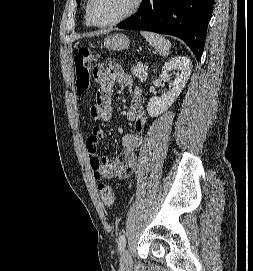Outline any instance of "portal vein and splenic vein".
I'll return each mask as SVG.
<instances>
[{
	"label": "portal vein and splenic vein",
	"mask_w": 253,
	"mask_h": 271,
	"mask_svg": "<svg viewBox=\"0 0 253 271\" xmlns=\"http://www.w3.org/2000/svg\"><path fill=\"white\" fill-rule=\"evenodd\" d=\"M137 66H138V67H143V63L139 62V63L137 64Z\"/></svg>",
	"instance_id": "obj_1"
}]
</instances>
